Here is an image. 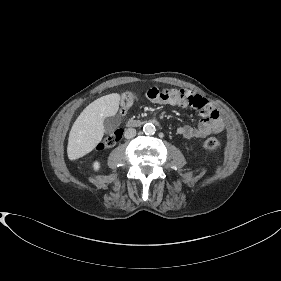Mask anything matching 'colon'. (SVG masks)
<instances>
[{"instance_id": "colon-1", "label": "colon", "mask_w": 281, "mask_h": 281, "mask_svg": "<svg viewBox=\"0 0 281 281\" xmlns=\"http://www.w3.org/2000/svg\"><path fill=\"white\" fill-rule=\"evenodd\" d=\"M137 99V95L133 92L124 93L120 98V110L125 114L131 107L134 101ZM122 138V131L116 130L114 133L107 135L102 142L97 145V150H103L108 147L114 146ZM204 147L210 150H218L221 148V142L216 138H209L204 141Z\"/></svg>"}]
</instances>
